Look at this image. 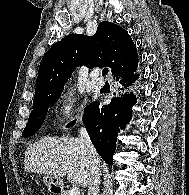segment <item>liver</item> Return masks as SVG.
I'll use <instances>...</instances> for the list:
<instances>
[{"label": "liver", "instance_id": "1", "mask_svg": "<svg viewBox=\"0 0 189 195\" xmlns=\"http://www.w3.org/2000/svg\"><path fill=\"white\" fill-rule=\"evenodd\" d=\"M98 164L100 159L98 156ZM24 170L61 178L86 187L91 178L87 150L80 138L45 137L25 151Z\"/></svg>", "mask_w": 189, "mask_h": 195}]
</instances>
